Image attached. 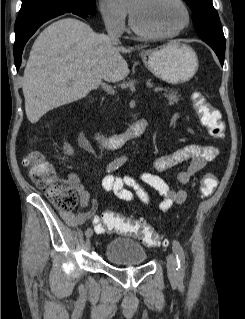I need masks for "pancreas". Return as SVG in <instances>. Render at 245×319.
Here are the masks:
<instances>
[{
    "instance_id": "1",
    "label": "pancreas",
    "mask_w": 245,
    "mask_h": 319,
    "mask_svg": "<svg viewBox=\"0 0 245 319\" xmlns=\"http://www.w3.org/2000/svg\"><path fill=\"white\" fill-rule=\"evenodd\" d=\"M164 97L167 98V100L170 102V103H178L179 101V95H178V92L176 90H173V89H166L165 92H164Z\"/></svg>"
}]
</instances>
